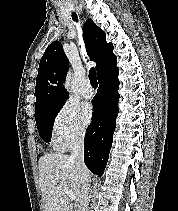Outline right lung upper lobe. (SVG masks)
<instances>
[{
	"instance_id": "right-lung-upper-lobe-1",
	"label": "right lung upper lobe",
	"mask_w": 178,
	"mask_h": 211,
	"mask_svg": "<svg viewBox=\"0 0 178 211\" xmlns=\"http://www.w3.org/2000/svg\"><path fill=\"white\" fill-rule=\"evenodd\" d=\"M83 38L88 55L92 61L97 62L98 81L119 70L112 43L106 42L104 31L91 19L83 26ZM68 68L69 63L62 44L59 41L51 43L40 60L36 78V114L49 106L66 102L68 93L63 82Z\"/></svg>"
}]
</instances>
